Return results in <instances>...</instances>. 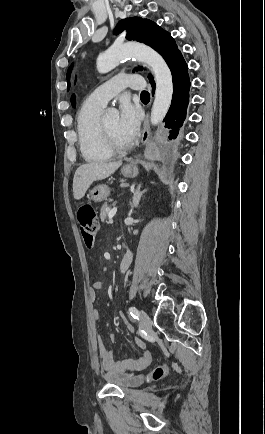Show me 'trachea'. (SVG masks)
I'll list each match as a JSON object with an SVG mask.
<instances>
[{
	"label": "trachea",
	"instance_id": "trachea-1",
	"mask_svg": "<svg viewBox=\"0 0 265 434\" xmlns=\"http://www.w3.org/2000/svg\"><path fill=\"white\" fill-rule=\"evenodd\" d=\"M146 96H148V97H149V94H148V92H146L145 90H144V91H142V92H141V97L143 98V97H146Z\"/></svg>",
	"mask_w": 265,
	"mask_h": 434
}]
</instances>
